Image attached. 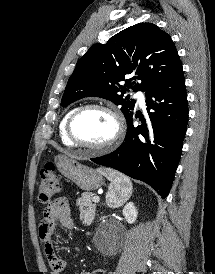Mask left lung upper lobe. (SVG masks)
<instances>
[{"label":"left lung upper lobe","mask_w":215,"mask_h":274,"mask_svg":"<svg viewBox=\"0 0 215 274\" xmlns=\"http://www.w3.org/2000/svg\"><path fill=\"white\" fill-rule=\"evenodd\" d=\"M181 66L171 37L155 24L138 23L117 33L106 44L90 47L78 60L61 105L65 107L84 97H101L121 105L127 119L134 113L135 100L124 98L126 92L146 91ZM121 81H125L124 86Z\"/></svg>","instance_id":"5c2ea615"}]
</instances>
